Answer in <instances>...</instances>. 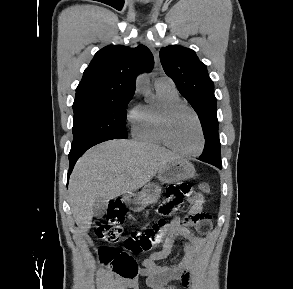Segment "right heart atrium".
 Masks as SVG:
<instances>
[{"label":"right heart atrium","mask_w":293,"mask_h":289,"mask_svg":"<svg viewBox=\"0 0 293 289\" xmlns=\"http://www.w3.org/2000/svg\"><path fill=\"white\" fill-rule=\"evenodd\" d=\"M133 102H134L133 100L130 101L129 107H131L133 105Z\"/></svg>","instance_id":"obj_1"}]
</instances>
